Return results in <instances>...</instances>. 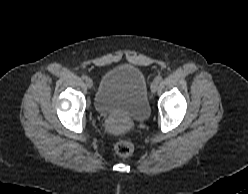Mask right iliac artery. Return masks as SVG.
Here are the masks:
<instances>
[{
  "mask_svg": "<svg viewBox=\"0 0 248 194\" xmlns=\"http://www.w3.org/2000/svg\"><path fill=\"white\" fill-rule=\"evenodd\" d=\"M82 80H86L87 79V76L86 75H82Z\"/></svg>",
  "mask_w": 248,
  "mask_h": 194,
  "instance_id": "right-iliac-artery-1",
  "label": "right iliac artery"
}]
</instances>
